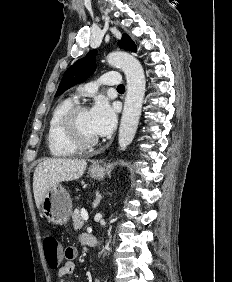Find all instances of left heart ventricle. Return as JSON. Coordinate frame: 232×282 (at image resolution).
<instances>
[{
  "label": "left heart ventricle",
  "instance_id": "1",
  "mask_svg": "<svg viewBox=\"0 0 232 282\" xmlns=\"http://www.w3.org/2000/svg\"><path fill=\"white\" fill-rule=\"evenodd\" d=\"M78 127L82 136L86 139H96L98 136L95 134L90 119L89 110H84L78 115Z\"/></svg>",
  "mask_w": 232,
  "mask_h": 282
}]
</instances>
